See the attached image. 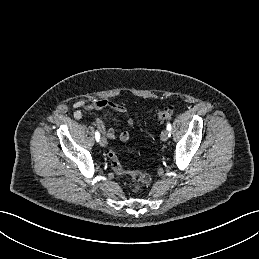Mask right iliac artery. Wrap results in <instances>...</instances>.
<instances>
[{
    "label": "right iliac artery",
    "mask_w": 259,
    "mask_h": 259,
    "mask_svg": "<svg viewBox=\"0 0 259 259\" xmlns=\"http://www.w3.org/2000/svg\"><path fill=\"white\" fill-rule=\"evenodd\" d=\"M95 138H96V141L98 142L100 139V133L98 131H96L95 133Z\"/></svg>",
    "instance_id": "1"
}]
</instances>
